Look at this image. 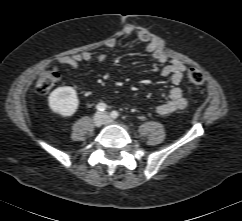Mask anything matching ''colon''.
<instances>
[{"instance_id":"5ec220e1","label":"colon","mask_w":242,"mask_h":221,"mask_svg":"<svg viewBox=\"0 0 242 221\" xmlns=\"http://www.w3.org/2000/svg\"><path fill=\"white\" fill-rule=\"evenodd\" d=\"M59 79V70L57 68H49L40 75L36 83V89L39 93H48L58 83ZM188 79L193 86H200L204 82L203 73L196 68L189 70Z\"/></svg>"}]
</instances>
